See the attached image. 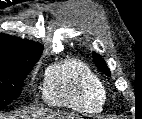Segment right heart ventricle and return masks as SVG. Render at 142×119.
I'll use <instances>...</instances> for the list:
<instances>
[{
    "mask_svg": "<svg viewBox=\"0 0 142 119\" xmlns=\"http://www.w3.org/2000/svg\"><path fill=\"white\" fill-rule=\"evenodd\" d=\"M42 95L49 105L83 113L99 112L107 98L99 77L77 59L64 60L47 69Z\"/></svg>",
    "mask_w": 142,
    "mask_h": 119,
    "instance_id": "e07e8e85",
    "label": "right heart ventricle"
}]
</instances>
